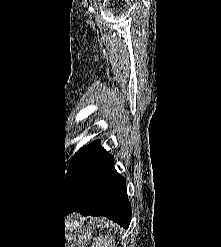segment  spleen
Masks as SVG:
<instances>
[{
  "mask_svg": "<svg viewBox=\"0 0 221 247\" xmlns=\"http://www.w3.org/2000/svg\"><path fill=\"white\" fill-rule=\"evenodd\" d=\"M112 244H115L114 237L107 234L104 238L99 237L91 247H112Z\"/></svg>",
  "mask_w": 221,
  "mask_h": 247,
  "instance_id": "spleen-1",
  "label": "spleen"
}]
</instances>
